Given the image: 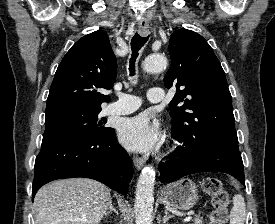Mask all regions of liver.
<instances>
[{"mask_svg":"<svg viewBox=\"0 0 275 224\" xmlns=\"http://www.w3.org/2000/svg\"><path fill=\"white\" fill-rule=\"evenodd\" d=\"M112 203L110 190L86 178L57 180L35 195V224H99Z\"/></svg>","mask_w":275,"mask_h":224,"instance_id":"1","label":"liver"}]
</instances>
